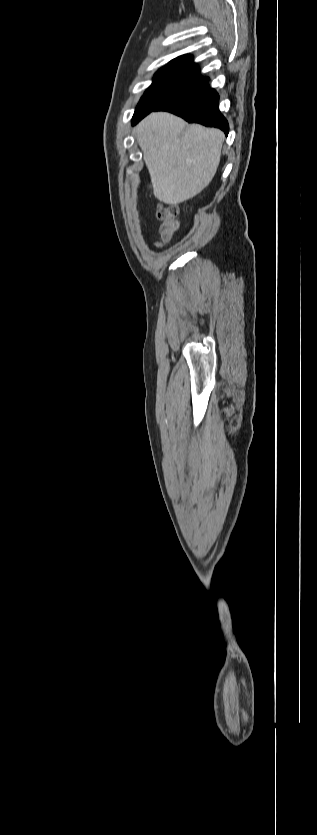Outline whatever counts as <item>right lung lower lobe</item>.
<instances>
[{
    "mask_svg": "<svg viewBox=\"0 0 317 835\" xmlns=\"http://www.w3.org/2000/svg\"><path fill=\"white\" fill-rule=\"evenodd\" d=\"M207 82L208 79L201 86L167 101L152 111H169L190 123L195 122L207 127H216L228 135V122L218 107L219 95L214 89L209 88Z\"/></svg>",
    "mask_w": 317,
    "mask_h": 835,
    "instance_id": "98d812e1",
    "label": "right lung lower lobe"
}]
</instances>
